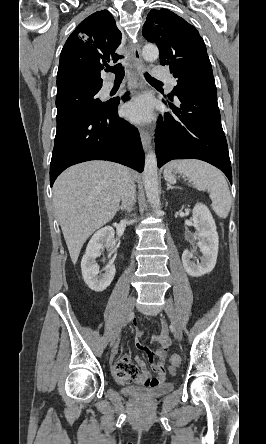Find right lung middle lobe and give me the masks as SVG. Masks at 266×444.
I'll use <instances>...</instances> for the list:
<instances>
[{"mask_svg":"<svg viewBox=\"0 0 266 444\" xmlns=\"http://www.w3.org/2000/svg\"><path fill=\"white\" fill-rule=\"evenodd\" d=\"M95 91H80L56 98L57 130L80 118L92 117L105 110L109 102H102Z\"/></svg>","mask_w":266,"mask_h":444,"instance_id":"right-lung-middle-lobe-1","label":"right lung middle lobe"}]
</instances>
